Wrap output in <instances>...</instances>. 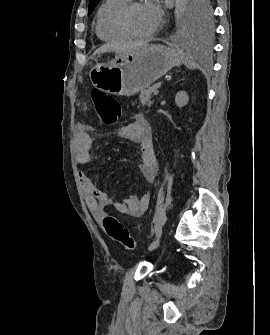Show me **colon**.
Instances as JSON below:
<instances>
[{
	"mask_svg": "<svg viewBox=\"0 0 270 335\" xmlns=\"http://www.w3.org/2000/svg\"><path fill=\"white\" fill-rule=\"evenodd\" d=\"M90 97L96 113L105 125L115 124L121 115L119 103L115 97L103 90L91 89ZM103 225L107 235L125 250L135 252L137 246L128 229L114 214L108 213L103 218Z\"/></svg>",
	"mask_w": 270,
	"mask_h": 335,
	"instance_id": "5ec220e1",
	"label": "colon"
}]
</instances>
